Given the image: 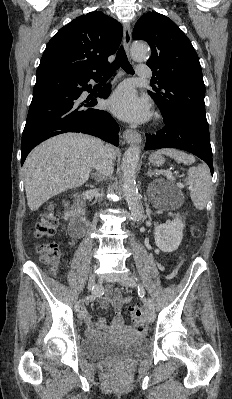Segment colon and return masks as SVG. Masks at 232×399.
Returning a JSON list of instances; mask_svg holds the SVG:
<instances>
[{"instance_id":"1","label":"colon","mask_w":232,"mask_h":399,"mask_svg":"<svg viewBox=\"0 0 232 399\" xmlns=\"http://www.w3.org/2000/svg\"><path fill=\"white\" fill-rule=\"evenodd\" d=\"M47 208H54V203H47ZM62 220V214L58 210H52L49 212L47 218H42L41 222L43 224L39 225L37 228V247L38 253L42 257H47L48 267L52 271H57L61 267L60 244H50V235L53 230L58 227ZM202 230V225H190L187 229V234L191 238H196ZM133 324H148L147 313H132ZM138 335L144 334L143 328L137 329Z\"/></svg>"}]
</instances>
